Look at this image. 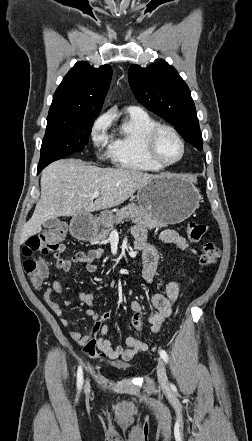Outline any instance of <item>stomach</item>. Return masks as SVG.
Here are the masks:
<instances>
[{
  "instance_id": "1",
  "label": "stomach",
  "mask_w": 252,
  "mask_h": 441,
  "mask_svg": "<svg viewBox=\"0 0 252 441\" xmlns=\"http://www.w3.org/2000/svg\"><path fill=\"white\" fill-rule=\"evenodd\" d=\"M199 190L177 174H161L142 185L137 202L149 217L167 224H178L189 218L201 202ZM112 212H103L99 223L108 224Z\"/></svg>"
}]
</instances>
